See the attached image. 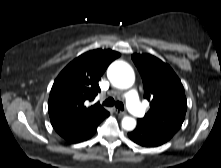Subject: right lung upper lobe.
Instances as JSON below:
<instances>
[{
	"label": "right lung upper lobe",
	"instance_id": "cb5924a9",
	"mask_svg": "<svg viewBox=\"0 0 221 168\" xmlns=\"http://www.w3.org/2000/svg\"><path fill=\"white\" fill-rule=\"evenodd\" d=\"M120 53L92 50L70 62L52 86L48 111L57 132L72 130L103 118L107 111L99 104L88 105L100 91L98 81Z\"/></svg>",
	"mask_w": 221,
	"mask_h": 168
}]
</instances>
